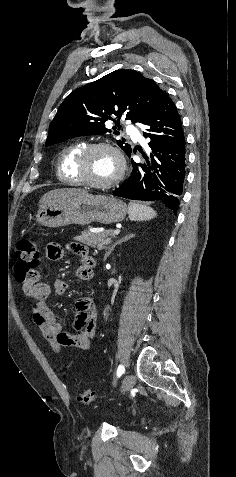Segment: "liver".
<instances>
[{
	"instance_id": "6515ba94",
	"label": "liver",
	"mask_w": 236,
	"mask_h": 477,
	"mask_svg": "<svg viewBox=\"0 0 236 477\" xmlns=\"http://www.w3.org/2000/svg\"><path fill=\"white\" fill-rule=\"evenodd\" d=\"M85 193H87L85 190L75 188L51 190L42 196L39 201V208H43L48 204H56L67 198Z\"/></svg>"
}]
</instances>
